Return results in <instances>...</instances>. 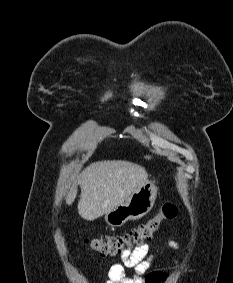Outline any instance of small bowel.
I'll use <instances>...</instances> for the list:
<instances>
[{"label":"small bowel","instance_id":"c3829d8e","mask_svg":"<svg viewBox=\"0 0 233 283\" xmlns=\"http://www.w3.org/2000/svg\"><path fill=\"white\" fill-rule=\"evenodd\" d=\"M168 245L174 250L180 248L174 240H170ZM121 259V263H113L110 266L108 280L105 283H164L168 278V275L162 271L149 272L153 255L149 254L147 243L140 244L133 250H126ZM125 267L134 268L136 274L127 277L124 273Z\"/></svg>","mask_w":233,"mask_h":283}]
</instances>
